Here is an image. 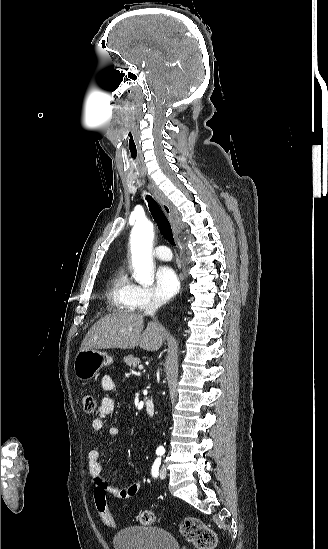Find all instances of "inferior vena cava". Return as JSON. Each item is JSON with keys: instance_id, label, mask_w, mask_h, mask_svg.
<instances>
[{"instance_id": "602c4592", "label": "inferior vena cava", "mask_w": 328, "mask_h": 549, "mask_svg": "<svg viewBox=\"0 0 328 549\" xmlns=\"http://www.w3.org/2000/svg\"><path fill=\"white\" fill-rule=\"evenodd\" d=\"M160 307H162V301H160V299H150L149 303H147L145 307L144 313L145 315H151V317H154Z\"/></svg>"}]
</instances>
